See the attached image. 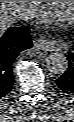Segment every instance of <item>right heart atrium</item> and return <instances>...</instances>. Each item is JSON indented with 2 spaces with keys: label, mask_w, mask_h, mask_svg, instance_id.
Listing matches in <instances>:
<instances>
[{
  "label": "right heart atrium",
  "mask_w": 74,
  "mask_h": 122,
  "mask_svg": "<svg viewBox=\"0 0 74 122\" xmlns=\"http://www.w3.org/2000/svg\"><path fill=\"white\" fill-rule=\"evenodd\" d=\"M27 2L32 3V4H36L39 1H27Z\"/></svg>",
  "instance_id": "right-heart-atrium-1"
}]
</instances>
